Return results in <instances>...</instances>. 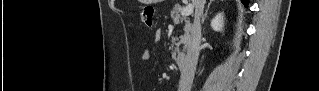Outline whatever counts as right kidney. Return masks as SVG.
Returning a JSON list of instances; mask_svg holds the SVG:
<instances>
[{
  "mask_svg": "<svg viewBox=\"0 0 319 91\" xmlns=\"http://www.w3.org/2000/svg\"><path fill=\"white\" fill-rule=\"evenodd\" d=\"M224 26L223 13H218L211 21V28L214 31H222Z\"/></svg>",
  "mask_w": 319,
  "mask_h": 91,
  "instance_id": "right-kidney-1",
  "label": "right kidney"
}]
</instances>
